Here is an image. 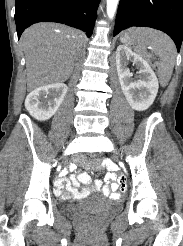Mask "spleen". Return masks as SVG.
Wrapping results in <instances>:
<instances>
[{
	"mask_svg": "<svg viewBox=\"0 0 183 246\" xmlns=\"http://www.w3.org/2000/svg\"><path fill=\"white\" fill-rule=\"evenodd\" d=\"M138 37L141 44H148L153 47L154 52L160 57L158 77L162 86H166L171 79L176 61V47L174 42L161 31L150 28H140ZM138 52L145 53L143 47L137 48Z\"/></svg>",
	"mask_w": 183,
	"mask_h": 246,
	"instance_id": "spleen-1",
	"label": "spleen"
}]
</instances>
